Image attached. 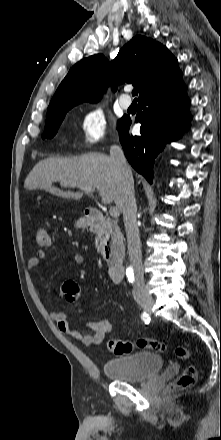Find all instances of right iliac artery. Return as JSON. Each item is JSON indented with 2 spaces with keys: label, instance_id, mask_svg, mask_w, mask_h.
Masks as SVG:
<instances>
[{
  "label": "right iliac artery",
  "instance_id": "obj_1",
  "mask_svg": "<svg viewBox=\"0 0 221 440\" xmlns=\"http://www.w3.org/2000/svg\"><path fill=\"white\" fill-rule=\"evenodd\" d=\"M141 319H142L145 323H149V321H150V317H149V315H148L146 312H143V313L141 314Z\"/></svg>",
  "mask_w": 221,
  "mask_h": 440
}]
</instances>
